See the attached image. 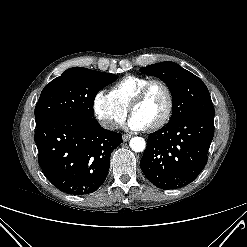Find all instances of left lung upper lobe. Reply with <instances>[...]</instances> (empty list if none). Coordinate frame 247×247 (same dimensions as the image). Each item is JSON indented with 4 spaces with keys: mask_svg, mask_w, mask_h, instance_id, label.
<instances>
[{
    "mask_svg": "<svg viewBox=\"0 0 247 247\" xmlns=\"http://www.w3.org/2000/svg\"><path fill=\"white\" fill-rule=\"evenodd\" d=\"M143 74L160 78L172 94L173 112L169 123L188 115L214 118V107L201 79L174 62H161L140 69Z\"/></svg>",
    "mask_w": 247,
    "mask_h": 247,
    "instance_id": "left-lung-upper-lobe-1",
    "label": "left lung upper lobe"
}]
</instances>
